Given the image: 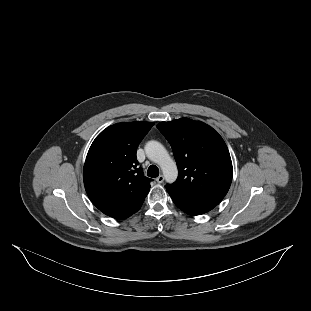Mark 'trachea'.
Masks as SVG:
<instances>
[{
	"label": "trachea",
	"instance_id": "trachea-1",
	"mask_svg": "<svg viewBox=\"0 0 311 311\" xmlns=\"http://www.w3.org/2000/svg\"><path fill=\"white\" fill-rule=\"evenodd\" d=\"M147 175L151 178H156L159 176V169L156 165H151L148 168Z\"/></svg>",
	"mask_w": 311,
	"mask_h": 311
}]
</instances>
